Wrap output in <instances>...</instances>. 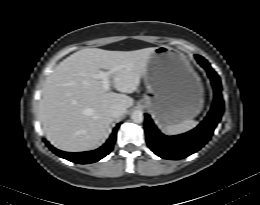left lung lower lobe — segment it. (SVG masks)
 I'll use <instances>...</instances> for the list:
<instances>
[{
	"label": "left lung lower lobe",
	"instance_id": "0a47b994",
	"mask_svg": "<svg viewBox=\"0 0 260 205\" xmlns=\"http://www.w3.org/2000/svg\"><path fill=\"white\" fill-rule=\"evenodd\" d=\"M199 64L205 68L214 89L213 106L201 124L181 135L165 136L153 124L149 115H146V140L149 148L164 159L179 160L198 151L211 138L214 128L221 119L224 102L221 96V82L210 64L200 55H196Z\"/></svg>",
	"mask_w": 260,
	"mask_h": 205
}]
</instances>
